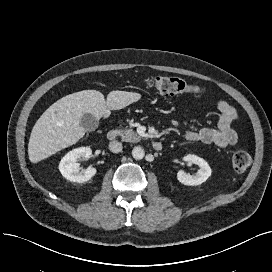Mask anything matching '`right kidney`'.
Wrapping results in <instances>:
<instances>
[{
	"label": "right kidney",
	"instance_id": "ca27d5eb",
	"mask_svg": "<svg viewBox=\"0 0 272 272\" xmlns=\"http://www.w3.org/2000/svg\"><path fill=\"white\" fill-rule=\"evenodd\" d=\"M92 150L89 147L76 148L67 153L59 163V170L63 177L72 182L84 183L90 180L97 172L96 168L88 167L80 171L79 158H89Z\"/></svg>",
	"mask_w": 272,
	"mask_h": 272
}]
</instances>
